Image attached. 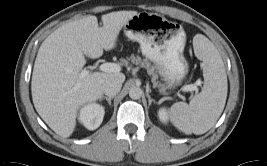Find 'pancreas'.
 Here are the masks:
<instances>
[{
    "mask_svg": "<svg viewBox=\"0 0 267 166\" xmlns=\"http://www.w3.org/2000/svg\"><path fill=\"white\" fill-rule=\"evenodd\" d=\"M131 59V62L136 64V65H141V67H144L147 69L148 71V74L152 76V82H153V85L155 87H161L162 90L165 88L162 84H160L158 81H157V78H158V75L156 73V67L151 65L146 59L145 60H142L141 57L137 56L135 57L134 55H132L130 57Z\"/></svg>",
    "mask_w": 267,
    "mask_h": 166,
    "instance_id": "1",
    "label": "pancreas"
}]
</instances>
